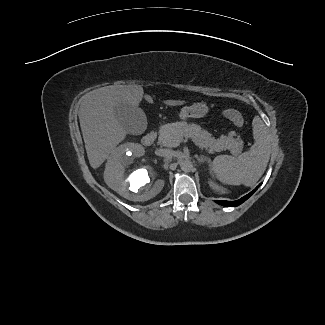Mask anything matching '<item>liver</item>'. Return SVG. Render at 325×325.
<instances>
[{
	"mask_svg": "<svg viewBox=\"0 0 325 325\" xmlns=\"http://www.w3.org/2000/svg\"><path fill=\"white\" fill-rule=\"evenodd\" d=\"M144 96L140 85L105 86L87 93L79 108L80 127L89 163L96 169L114 152L126 137V130L115 116V107L127 103L138 107ZM169 106L182 105L185 101L166 100ZM140 154L141 145L132 144Z\"/></svg>",
	"mask_w": 325,
	"mask_h": 325,
	"instance_id": "liver-1",
	"label": "liver"
}]
</instances>
